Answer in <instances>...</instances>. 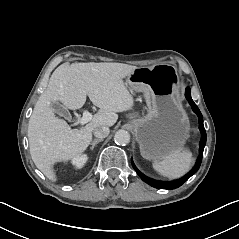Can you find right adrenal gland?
I'll return each instance as SVG.
<instances>
[{"label":"right adrenal gland","instance_id":"2a0ac1e0","mask_svg":"<svg viewBox=\"0 0 239 239\" xmlns=\"http://www.w3.org/2000/svg\"><path fill=\"white\" fill-rule=\"evenodd\" d=\"M104 139L101 138V139H94L93 142L91 143V147L90 149L93 150L95 145L98 144L99 142L103 141Z\"/></svg>","mask_w":239,"mask_h":239}]
</instances>
